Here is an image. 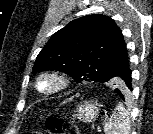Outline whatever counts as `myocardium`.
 <instances>
[{"label":"myocardium","mask_w":153,"mask_h":134,"mask_svg":"<svg viewBox=\"0 0 153 134\" xmlns=\"http://www.w3.org/2000/svg\"><path fill=\"white\" fill-rule=\"evenodd\" d=\"M43 80H51L53 86L49 89H42L40 84ZM70 85V78L58 70H46L39 74L35 81L36 90L43 95H54L67 89Z\"/></svg>","instance_id":"myocardium-1"}]
</instances>
